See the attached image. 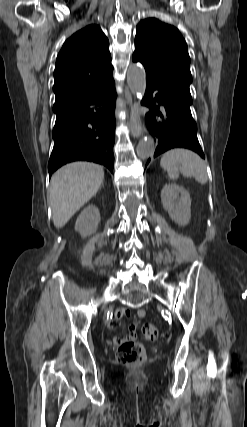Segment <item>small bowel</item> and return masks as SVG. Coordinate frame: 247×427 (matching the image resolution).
<instances>
[{
  "mask_svg": "<svg viewBox=\"0 0 247 427\" xmlns=\"http://www.w3.org/2000/svg\"><path fill=\"white\" fill-rule=\"evenodd\" d=\"M146 315L145 310H139L137 314L134 316L133 322L129 325V333L124 338L116 337L114 338V342L116 344H122L127 341H134L137 337L136 328L138 324V320L143 318ZM130 311L125 308H119L114 315V319L110 322L109 328L115 329L117 324L124 318V317H130Z\"/></svg>",
  "mask_w": 247,
  "mask_h": 427,
  "instance_id": "c3829d8e",
  "label": "small bowel"
}]
</instances>
